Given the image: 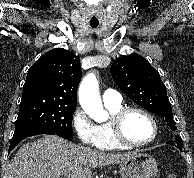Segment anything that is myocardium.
<instances>
[{"mask_svg": "<svg viewBox=\"0 0 194 178\" xmlns=\"http://www.w3.org/2000/svg\"><path fill=\"white\" fill-rule=\"evenodd\" d=\"M133 112L143 114L151 122L153 126V136L151 137L150 140L143 143H135L126 137L124 132V123L127 116ZM109 125L111 127V130L116 142L124 147L141 148V147L151 145L153 142L156 141L159 135V126L155 117L148 110L141 107H136V106L123 107L122 109H120L119 111L111 115Z\"/></svg>", "mask_w": 194, "mask_h": 178, "instance_id": "f54148a6", "label": "myocardium"}]
</instances>
